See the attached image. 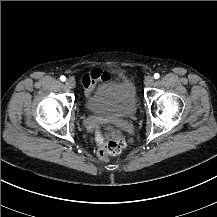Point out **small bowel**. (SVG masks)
I'll return each instance as SVG.
<instances>
[{
    "instance_id": "obj_1",
    "label": "small bowel",
    "mask_w": 217,
    "mask_h": 217,
    "mask_svg": "<svg viewBox=\"0 0 217 217\" xmlns=\"http://www.w3.org/2000/svg\"><path fill=\"white\" fill-rule=\"evenodd\" d=\"M131 75L124 73L122 79L126 81L131 80ZM111 83L114 80V75L110 71L100 70H87L81 78V83L84 85L85 95L90 97L94 91V86L98 81ZM86 126L93 133V142L97 147H101L104 144V136L100 130V122L97 119H88Z\"/></svg>"
}]
</instances>
